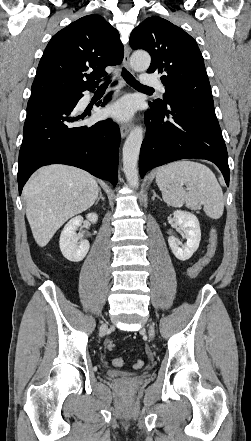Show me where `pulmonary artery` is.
<instances>
[{
	"mask_svg": "<svg viewBox=\"0 0 251 441\" xmlns=\"http://www.w3.org/2000/svg\"><path fill=\"white\" fill-rule=\"evenodd\" d=\"M141 82L144 85L153 86V87L157 88L161 93L165 92L164 85L157 78H155L153 76L143 75L141 77Z\"/></svg>",
	"mask_w": 251,
	"mask_h": 441,
	"instance_id": "e3ab8cb5",
	"label": "pulmonary artery"
}]
</instances>
